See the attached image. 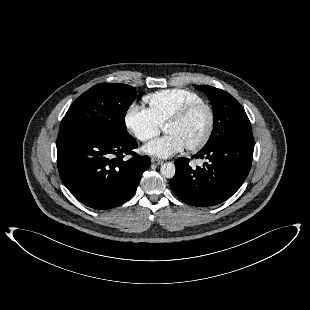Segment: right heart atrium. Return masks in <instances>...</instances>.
I'll list each match as a JSON object with an SVG mask.
<instances>
[{
    "label": "right heart atrium",
    "mask_w": 310,
    "mask_h": 310,
    "mask_svg": "<svg viewBox=\"0 0 310 310\" xmlns=\"http://www.w3.org/2000/svg\"><path fill=\"white\" fill-rule=\"evenodd\" d=\"M124 125L128 132L141 142L152 139L161 129L147 109L134 103L125 112Z\"/></svg>",
    "instance_id": "d8ad5b80"
}]
</instances>
